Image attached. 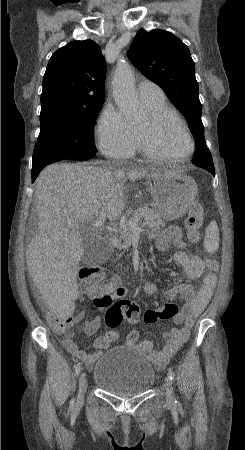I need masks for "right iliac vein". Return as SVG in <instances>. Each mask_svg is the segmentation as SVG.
<instances>
[{"label":"right iliac vein","mask_w":245,"mask_h":450,"mask_svg":"<svg viewBox=\"0 0 245 450\" xmlns=\"http://www.w3.org/2000/svg\"><path fill=\"white\" fill-rule=\"evenodd\" d=\"M78 400H82L85 396L86 390H87V379L85 373H82L78 380Z\"/></svg>","instance_id":"63e3f726"}]
</instances>
